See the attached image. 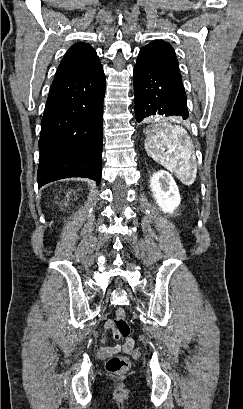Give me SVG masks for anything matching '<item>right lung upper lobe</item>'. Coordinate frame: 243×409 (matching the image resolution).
<instances>
[{
  "instance_id": "1",
  "label": "right lung upper lobe",
  "mask_w": 243,
  "mask_h": 409,
  "mask_svg": "<svg viewBox=\"0 0 243 409\" xmlns=\"http://www.w3.org/2000/svg\"><path fill=\"white\" fill-rule=\"evenodd\" d=\"M101 66L95 50L86 43L79 42L64 55L56 76H82L95 71Z\"/></svg>"
}]
</instances>
